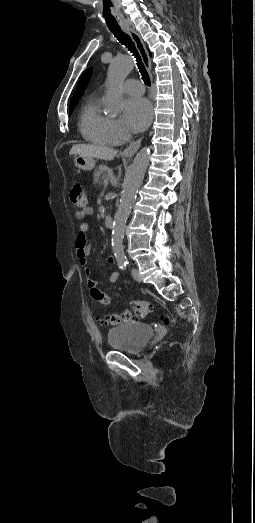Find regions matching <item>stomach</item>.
<instances>
[{"mask_svg": "<svg viewBox=\"0 0 255 523\" xmlns=\"http://www.w3.org/2000/svg\"><path fill=\"white\" fill-rule=\"evenodd\" d=\"M126 158H130V156H126ZM74 164L76 168H79V170H93L95 166V162L92 158H83V156L75 158Z\"/></svg>", "mask_w": 255, "mask_h": 523, "instance_id": "stomach-1", "label": "stomach"}]
</instances>
